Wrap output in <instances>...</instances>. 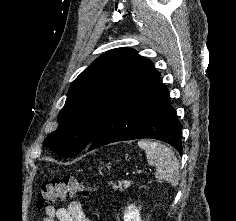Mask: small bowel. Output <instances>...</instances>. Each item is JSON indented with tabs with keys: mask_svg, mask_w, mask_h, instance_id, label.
Here are the masks:
<instances>
[{
	"mask_svg": "<svg viewBox=\"0 0 236 221\" xmlns=\"http://www.w3.org/2000/svg\"><path fill=\"white\" fill-rule=\"evenodd\" d=\"M45 212L46 218L44 221H94L77 200L59 207L47 206Z\"/></svg>",
	"mask_w": 236,
	"mask_h": 221,
	"instance_id": "1",
	"label": "small bowel"
}]
</instances>
